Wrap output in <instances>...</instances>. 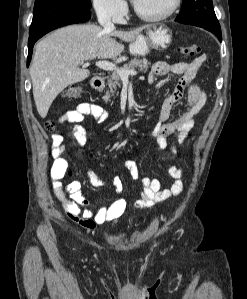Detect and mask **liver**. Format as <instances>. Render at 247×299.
I'll return each mask as SVG.
<instances>
[{
	"label": "liver",
	"mask_w": 247,
	"mask_h": 299,
	"mask_svg": "<svg viewBox=\"0 0 247 299\" xmlns=\"http://www.w3.org/2000/svg\"><path fill=\"white\" fill-rule=\"evenodd\" d=\"M107 31L95 24L69 25L59 28L35 47L30 75L37 111L42 118L57 95L69 85L89 77L90 71L80 68L85 61L118 57L124 42L134 41L143 29Z\"/></svg>",
	"instance_id": "liver-1"
}]
</instances>
